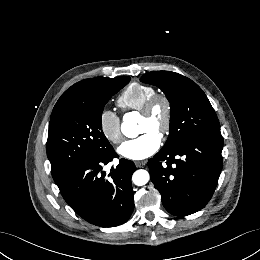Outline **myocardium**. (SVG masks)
<instances>
[{"instance_id":"myocardium-1","label":"myocardium","mask_w":260,"mask_h":260,"mask_svg":"<svg viewBox=\"0 0 260 260\" xmlns=\"http://www.w3.org/2000/svg\"><path fill=\"white\" fill-rule=\"evenodd\" d=\"M159 102H161L164 106L163 122L159 128V134L162 137H166L171 130L173 119L172 102L166 94L161 92H155L145 101V103L139 111L142 114V116L151 117L155 105Z\"/></svg>"}]
</instances>
